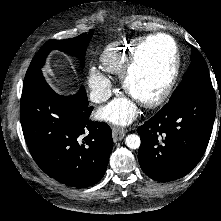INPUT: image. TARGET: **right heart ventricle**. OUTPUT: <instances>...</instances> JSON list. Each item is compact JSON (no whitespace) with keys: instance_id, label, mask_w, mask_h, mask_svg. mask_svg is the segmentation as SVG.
<instances>
[{"instance_id":"obj_1","label":"right heart ventricle","mask_w":221,"mask_h":221,"mask_svg":"<svg viewBox=\"0 0 221 221\" xmlns=\"http://www.w3.org/2000/svg\"><path fill=\"white\" fill-rule=\"evenodd\" d=\"M143 37L137 36L109 44L100 57V67L105 75H120L135 45Z\"/></svg>"}]
</instances>
